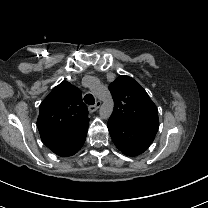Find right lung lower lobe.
Listing matches in <instances>:
<instances>
[{
  "label": "right lung lower lobe",
  "mask_w": 208,
  "mask_h": 208,
  "mask_svg": "<svg viewBox=\"0 0 208 208\" xmlns=\"http://www.w3.org/2000/svg\"><path fill=\"white\" fill-rule=\"evenodd\" d=\"M88 125H85L75 134L65 138L47 141L44 144L59 156H72L77 153L83 146L87 135Z\"/></svg>",
  "instance_id": "obj_1"
}]
</instances>
